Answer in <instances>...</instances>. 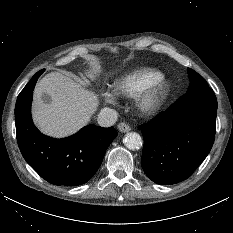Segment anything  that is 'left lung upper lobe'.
Returning a JSON list of instances; mask_svg holds the SVG:
<instances>
[{"label":"left lung upper lobe","instance_id":"5c2ea615","mask_svg":"<svg viewBox=\"0 0 233 233\" xmlns=\"http://www.w3.org/2000/svg\"><path fill=\"white\" fill-rule=\"evenodd\" d=\"M187 71L190 80V84L187 92L209 88V86L206 83V80L202 76H200L197 72H195L190 68H188Z\"/></svg>","mask_w":233,"mask_h":233}]
</instances>
